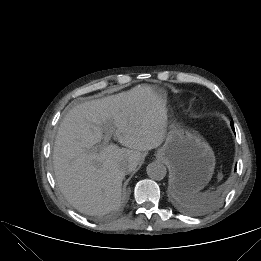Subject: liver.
Instances as JSON below:
<instances>
[{
  "instance_id": "6515ba94",
  "label": "liver",
  "mask_w": 261,
  "mask_h": 261,
  "mask_svg": "<svg viewBox=\"0 0 261 261\" xmlns=\"http://www.w3.org/2000/svg\"><path fill=\"white\" fill-rule=\"evenodd\" d=\"M166 98L149 85L73 107L57 132L53 167L64 197L78 211L103 215L120 205L122 181L141 151L159 147L166 135ZM107 128L122 148L97 151Z\"/></svg>"
}]
</instances>
